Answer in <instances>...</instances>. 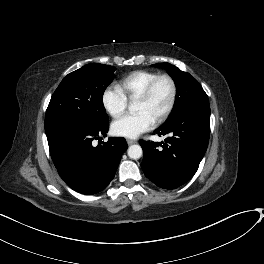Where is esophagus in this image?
I'll return each mask as SVG.
<instances>
[{"label":"esophagus","instance_id":"1","mask_svg":"<svg viewBox=\"0 0 264 264\" xmlns=\"http://www.w3.org/2000/svg\"><path fill=\"white\" fill-rule=\"evenodd\" d=\"M127 143H128V145H132V144L136 143V140L127 139Z\"/></svg>","mask_w":264,"mask_h":264}]
</instances>
